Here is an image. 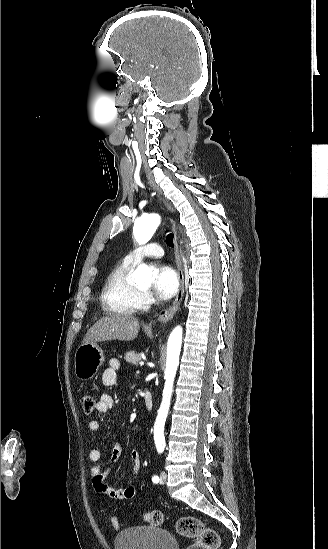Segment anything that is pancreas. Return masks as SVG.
I'll return each instance as SVG.
<instances>
[{
    "label": "pancreas",
    "instance_id": "pancreas-1",
    "mask_svg": "<svg viewBox=\"0 0 328 549\" xmlns=\"http://www.w3.org/2000/svg\"><path fill=\"white\" fill-rule=\"evenodd\" d=\"M124 359L128 363H132V365H138L139 361H141V355L140 353H135V351H129V353H125Z\"/></svg>",
    "mask_w": 328,
    "mask_h": 549
}]
</instances>
